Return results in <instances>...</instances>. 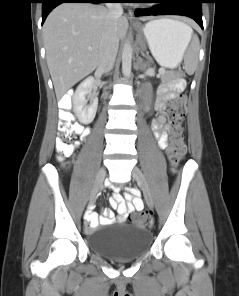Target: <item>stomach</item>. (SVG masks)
Wrapping results in <instances>:
<instances>
[{"instance_id": "obj_1", "label": "stomach", "mask_w": 239, "mask_h": 296, "mask_svg": "<svg viewBox=\"0 0 239 296\" xmlns=\"http://www.w3.org/2000/svg\"><path fill=\"white\" fill-rule=\"evenodd\" d=\"M136 28L142 31L152 55L161 66L170 69L178 66L189 42L186 24L160 18L151 20L144 26L137 25Z\"/></svg>"}]
</instances>
